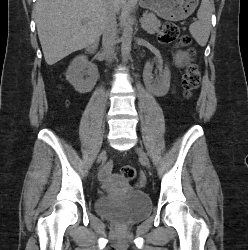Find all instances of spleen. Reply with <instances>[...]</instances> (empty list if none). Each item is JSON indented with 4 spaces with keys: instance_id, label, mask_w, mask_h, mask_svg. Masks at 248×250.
Listing matches in <instances>:
<instances>
[{
    "instance_id": "obj_1",
    "label": "spleen",
    "mask_w": 248,
    "mask_h": 250,
    "mask_svg": "<svg viewBox=\"0 0 248 250\" xmlns=\"http://www.w3.org/2000/svg\"><path fill=\"white\" fill-rule=\"evenodd\" d=\"M213 6L209 0H202L197 12L198 21L191 24L189 31L200 46H205L211 30V14Z\"/></svg>"
}]
</instances>
